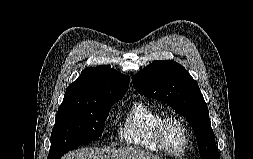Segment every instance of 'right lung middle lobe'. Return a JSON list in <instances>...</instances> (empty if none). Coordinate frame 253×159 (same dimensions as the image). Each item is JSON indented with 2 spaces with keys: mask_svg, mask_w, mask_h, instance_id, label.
<instances>
[{
  "mask_svg": "<svg viewBox=\"0 0 253 159\" xmlns=\"http://www.w3.org/2000/svg\"><path fill=\"white\" fill-rule=\"evenodd\" d=\"M120 98L63 100L51 133L48 159H59L72 148L97 140L111 105Z\"/></svg>",
  "mask_w": 253,
  "mask_h": 159,
  "instance_id": "1",
  "label": "right lung middle lobe"
}]
</instances>
